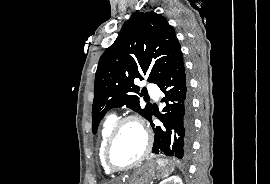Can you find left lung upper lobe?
I'll return each instance as SVG.
<instances>
[{
	"label": "left lung upper lobe",
	"mask_w": 270,
	"mask_h": 184,
	"mask_svg": "<svg viewBox=\"0 0 270 184\" xmlns=\"http://www.w3.org/2000/svg\"><path fill=\"white\" fill-rule=\"evenodd\" d=\"M180 44L167 20L155 12H136L125 22L115 42L100 57L95 75L92 131H97L107 110L126 105L147 120L150 104L139 105L135 79L158 84L176 55ZM145 89L142 90V93Z\"/></svg>",
	"instance_id": "5c2ea615"
}]
</instances>
